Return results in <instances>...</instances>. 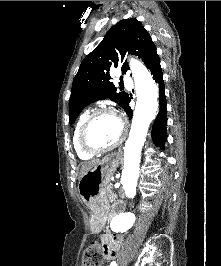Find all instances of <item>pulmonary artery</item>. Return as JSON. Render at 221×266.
Segmentation results:
<instances>
[{"label":"pulmonary artery","instance_id":"pulmonary-artery-1","mask_svg":"<svg viewBox=\"0 0 221 266\" xmlns=\"http://www.w3.org/2000/svg\"><path fill=\"white\" fill-rule=\"evenodd\" d=\"M122 77H123V79H124L125 81H127V80H128V76H127V74H125V73H122Z\"/></svg>","mask_w":221,"mask_h":266}]
</instances>
